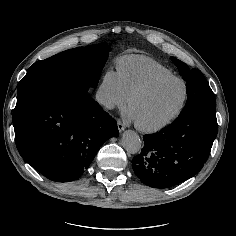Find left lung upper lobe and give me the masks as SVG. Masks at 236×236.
<instances>
[{
	"mask_svg": "<svg viewBox=\"0 0 236 236\" xmlns=\"http://www.w3.org/2000/svg\"><path fill=\"white\" fill-rule=\"evenodd\" d=\"M186 81L187 102L182 112L191 109L216 111V100L204 75L197 69L190 70L182 61L171 57Z\"/></svg>",
	"mask_w": 236,
	"mask_h": 236,
	"instance_id": "left-lung-upper-lobe-1",
	"label": "left lung upper lobe"
}]
</instances>
